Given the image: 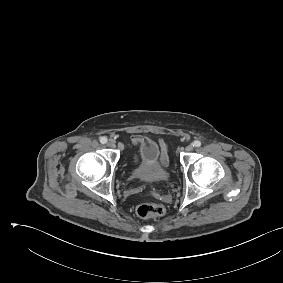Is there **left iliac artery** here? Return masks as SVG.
I'll list each match as a JSON object with an SVG mask.
<instances>
[{"mask_svg": "<svg viewBox=\"0 0 283 283\" xmlns=\"http://www.w3.org/2000/svg\"><path fill=\"white\" fill-rule=\"evenodd\" d=\"M193 146L200 147L201 146V142L196 140V141L193 142Z\"/></svg>", "mask_w": 283, "mask_h": 283, "instance_id": "obj_1", "label": "left iliac artery"}]
</instances>
